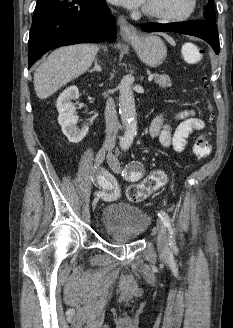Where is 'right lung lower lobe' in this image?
Returning <instances> with one entry per match:
<instances>
[{
    "instance_id": "right-lung-lower-lobe-1",
    "label": "right lung lower lobe",
    "mask_w": 233,
    "mask_h": 328,
    "mask_svg": "<svg viewBox=\"0 0 233 328\" xmlns=\"http://www.w3.org/2000/svg\"><path fill=\"white\" fill-rule=\"evenodd\" d=\"M104 0H38L28 41V68L51 49L116 39Z\"/></svg>"
}]
</instances>
